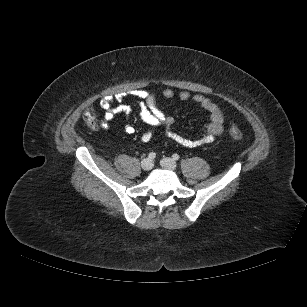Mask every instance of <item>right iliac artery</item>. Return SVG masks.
Instances as JSON below:
<instances>
[{"label":"right iliac artery","instance_id":"1","mask_svg":"<svg viewBox=\"0 0 307 307\" xmlns=\"http://www.w3.org/2000/svg\"><path fill=\"white\" fill-rule=\"evenodd\" d=\"M155 157H156V154L154 152H150L148 155V158L151 160L154 159Z\"/></svg>","mask_w":307,"mask_h":307}]
</instances>
